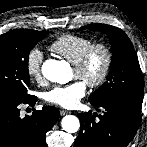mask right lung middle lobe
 <instances>
[{"label": "right lung middle lobe", "mask_w": 147, "mask_h": 147, "mask_svg": "<svg viewBox=\"0 0 147 147\" xmlns=\"http://www.w3.org/2000/svg\"><path fill=\"white\" fill-rule=\"evenodd\" d=\"M48 33L15 29L0 35V101L21 102L31 98L29 52Z\"/></svg>", "instance_id": "right-lung-middle-lobe-1"}]
</instances>
